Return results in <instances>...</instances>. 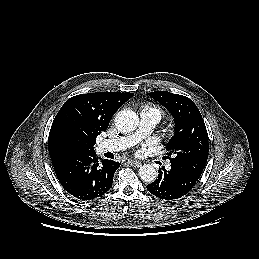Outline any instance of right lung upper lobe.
I'll list each match as a JSON object with an SVG mask.
<instances>
[{
	"mask_svg": "<svg viewBox=\"0 0 259 259\" xmlns=\"http://www.w3.org/2000/svg\"><path fill=\"white\" fill-rule=\"evenodd\" d=\"M134 94L95 92L68 99L53 120L48 149L55 164L76 154L95 152L96 137Z\"/></svg>",
	"mask_w": 259,
	"mask_h": 259,
	"instance_id": "cb5924a9",
	"label": "right lung upper lobe"
}]
</instances>
